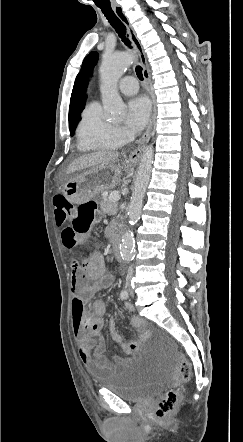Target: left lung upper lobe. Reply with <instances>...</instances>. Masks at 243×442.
I'll use <instances>...</instances> for the list:
<instances>
[{"mask_svg": "<svg viewBox=\"0 0 243 442\" xmlns=\"http://www.w3.org/2000/svg\"><path fill=\"white\" fill-rule=\"evenodd\" d=\"M98 59V53L97 52H91L83 61V67L88 65L90 68H92Z\"/></svg>", "mask_w": 243, "mask_h": 442, "instance_id": "1", "label": "left lung upper lobe"}]
</instances>
